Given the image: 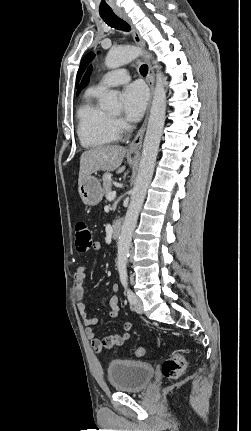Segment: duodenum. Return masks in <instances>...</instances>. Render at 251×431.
Here are the masks:
<instances>
[{"instance_id": "duodenum-1", "label": "duodenum", "mask_w": 251, "mask_h": 431, "mask_svg": "<svg viewBox=\"0 0 251 431\" xmlns=\"http://www.w3.org/2000/svg\"><path fill=\"white\" fill-rule=\"evenodd\" d=\"M122 228H123V223L121 220H117L114 225H113V239H118L119 236L121 235L122 232Z\"/></svg>"}]
</instances>
